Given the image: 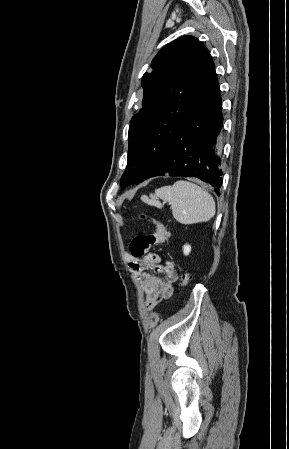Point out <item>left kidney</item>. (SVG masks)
Masks as SVG:
<instances>
[{
    "instance_id": "5707ae66",
    "label": "left kidney",
    "mask_w": 289,
    "mask_h": 449,
    "mask_svg": "<svg viewBox=\"0 0 289 449\" xmlns=\"http://www.w3.org/2000/svg\"><path fill=\"white\" fill-rule=\"evenodd\" d=\"M191 252V246L186 244L183 246V253L184 255H189V253Z\"/></svg>"
}]
</instances>
